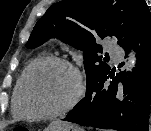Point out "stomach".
<instances>
[{
    "mask_svg": "<svg viewBox=\"0 0 151 131\" xmlns=\"http://www.w3.org/2000/svg\"><path fill=\"white\" fill-rule=\"evenodd\" d=\"M45 131H83L79 126L61 120L52 121Z\"/></svg>",
    "mask_w": 151,
    "mask_h": 131,
    "instance_id": "stomach-1",
    "label": "stomach"
}]
</instances>
